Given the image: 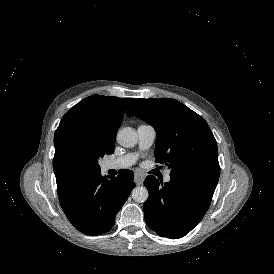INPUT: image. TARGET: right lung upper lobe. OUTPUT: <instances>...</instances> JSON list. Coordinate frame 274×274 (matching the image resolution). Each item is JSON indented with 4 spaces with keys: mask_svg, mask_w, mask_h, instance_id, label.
Segmentation results:
<instances>
[{
    "mask_svg": "<svg viewBox=\"0 0 274 274\" xmlns=\"http://www.w3.org/2000/svg\"><path fill=\"white\" fill-rule=\"evenodd\" d=\"M133 100L92 95L63 116L54 135L53 169L58 196L95 173L77 162L67 160V153L73 149L83 153L95 144L105 145L113 153L117 130Z\"/></svg>",
    "mask_w": 274,
    "mask_h": 274,
    "instance_id": "cb5924a9",
    "label": "right lung upper lobe"
}]
</instances>
